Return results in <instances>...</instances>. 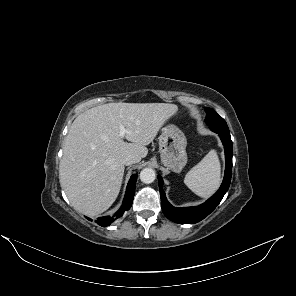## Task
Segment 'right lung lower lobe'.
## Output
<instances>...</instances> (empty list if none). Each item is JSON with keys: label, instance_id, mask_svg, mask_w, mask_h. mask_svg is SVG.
<instances>
[{"label": "right lung lower lobe", "instance_id": "obj_1", "mask_svg": "<svg viewBox=\"0 0 296 296\" xmlns=\"http://www.w3.org/2000/svg\"><path fill=\"white\" fill-rule=\"evenodd\" d=\"M136 180H137V175L136 174L132 175L128 182L125 198L121 208L113 216H104V217L97 218L96 222L98 225L103 227L109 226L115 220V217L117 218L121 217L125 210L130 209L133 202V197L135 194Z\"/></svg>", "mask_w": 296, "mask_h": 296}]
</instances>
